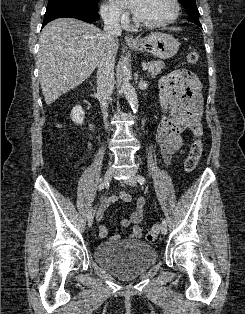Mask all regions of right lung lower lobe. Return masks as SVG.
<instances>
[{
    "label": "right lung lower lobe",
    "instance_id": "1",
    "mask_svg": "<svg viewBox=\"0 0 245 314\" xmlns=\"http://www.w3.org/2000/svg\"><path fill=\"white\" fill-rule=\"evenodd\" d=\"M64 17L76 18L89 23L95 22L100 18L98 10H90L76 6H56L46 9L42 27L54 19Z\"/></svg>",
    "mask_w": 245,
    "mask_h": 314
}]
</instances>
